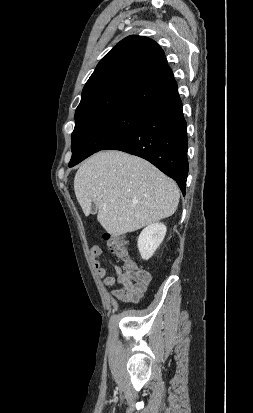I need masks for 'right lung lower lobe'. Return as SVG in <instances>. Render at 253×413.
<instances>
[{"label": "right lung lower lobe", "mask_w": 253, "mask_h": 413, "mask_svg": "<svg viewBox=\"0 0 253 413\" xmlns=\"http://www.w3.org/2000/svg\"><path fill=\"white\" fill-rule=\"evenodd\" d=\"M187 124L179 99L149 113L130 133L104 150L142 157L173 178L185 195L188 175Z\"/></svg>", "instance_id": "right-lung-lower-lobe-1"}]
</instances>
